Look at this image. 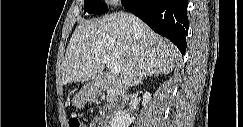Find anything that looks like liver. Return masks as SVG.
<instances>
[{
    "label": "liver",
    "mask_w": 243,
    "mask_h": 127,
    "mask_svg": "<svg viewBox=\"0 0 243 127\" xmlns=\"http://www.w3.org/2000/svg\"><path fill=\"white\" fill-rule=\"evenodd\" d=\"M106 56L120 65V81L130 87L147 75L172 72L179 51L134 15L110 14L75 29L63 60L62 84L98 78Z\"/></svg>",
    "instance_id": "6515ba94"
}]
</instances>
